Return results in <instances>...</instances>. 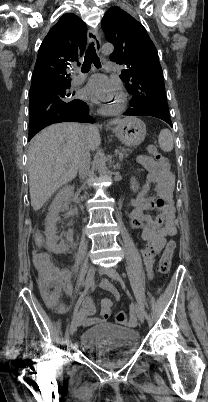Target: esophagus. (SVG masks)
Listing matches in <instances>:
<instances>
[{"mask_svg": "<svg viewBox=\"0 0 208 402\" xmlns=\"http://www.w3.org/2000/svg\"><path fill=\"white\" fill-rule=\"evenodd\" d=\"M87 38L90 43L93 42L95 44L96 50L98 52H100L101 51V41H100V38H99L96 30H93V29L89 30L88 34H87Z\"/></svg>", "mask_w": 208, "mask_h": 402, "instance_id": "obj_1", "label": "esophagus"}]
</instances>
